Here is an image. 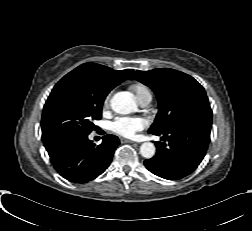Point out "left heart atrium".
I'll return each mask as SVG.
<instances>
[{
    "mask_svg": "<svg viewBox=\"0 0 252 231\" xmlns=\"http://www.w3.org/2000/svg\"><path fill=\"white\" fill-rule=\"evenodd\" d=\"M146 126L147 121L142 117H118L112 122L111 129L121 136L133 137Z\"/></svg>",
    "mask_w": 252,
    "mask_h": 231,
    "instance_id": "39dd6f15",
    "label": "left heart atrium"
}]
</instances>
